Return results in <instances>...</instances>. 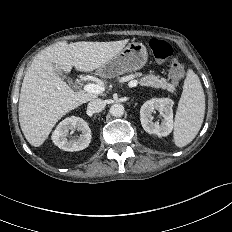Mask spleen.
I'll return each mask as SVG.
<instances>
[{"label":"spleen","mask_w":232,"mask_h":232,"mask_svg":"<svg viewBox=\"0 0 232 232\" xmlns=\"http://www.w3.org/2000/svg\"><path fill=\"white\" fill-rule=\"evenodd\" d=\"M205 113V95L199 77L188 69L174 121V143L189 144L198 134Z\"/></svg>","instance_id":"3e777b00"}]
</instances>
